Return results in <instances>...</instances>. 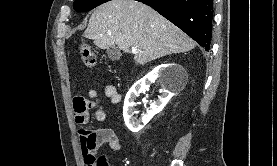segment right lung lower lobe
I'll return each instance as SVG.
<instances>
[{
    "mask_svg": "<svg viewBox=\"0 0 277 166\" xmlns=\"http://www.w3.org/2000/svg\"><path fill=\"white\" fill-rule=\"evenodd\" d=\"M167 18L206 51L211 45L213 0H136Z\"/></svg>",
    "mask_w": 277,
    "mask_h": 166,
    "instance_id": "98d812e1",
    "label": "right lung lower lobe"
}]
</instances>
